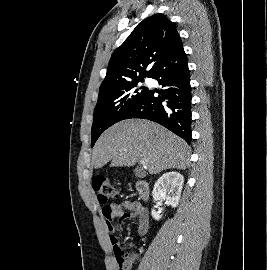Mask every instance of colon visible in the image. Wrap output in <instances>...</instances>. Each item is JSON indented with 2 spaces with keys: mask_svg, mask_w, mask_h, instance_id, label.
<instances>
[{
  "mask_svg": "<svg viewBox=\"0 0 267 270\" xmlns=\"http://www.w3.org/2000/svg\"><path fill=\"white\" fill-rule=\"evenodd\" d=\"M93 188L97 193L98 200L105 204L108 201L119 196V188L110 179L104 176H98L93 179ZM127 246L120 243L117 238L114 240V253L120 270H129L132 263V257L127 252Z\"/></svg>",
  "mask_w": 267,
  "mask_h": 270,
  "instance_id": "1",
  "label": "colon"
}]
</instances>
